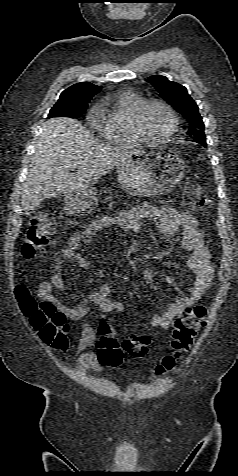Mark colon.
Listing matches in <instances>:
<instances>
[{"label": "colon", "mask_w": 238, "mask_h": 476, "mask_svg": "<svg viewBox=\"0 0 238 476\" xmlns=\"http://www.w3.org/2000/svg\"><path fill=\"white\" fill-rule=\"evenodd\" d=\"M183 204L192 211H203L210 207L211 200L203 188L197 183H187L183 191ZM54 231V224L44 215L35 216L29 223L25 241L22 246L24 258L32 259L42 254L49 243ZM20 308L29 318L32 327L42 341L48 346L65 350L68 345L67 331L63 315L45 302H38L29 296L24 286L17 288ZM207 310L201 305L184 309L174 321L171 346L173 351L166 355L155 367L153 376H163L176 369L177 362L192 346L198 332L206 326ZM101 335L97 342V355L100 363L105 366L118 368L123 362V355L140 358L147 354L150 338L145 334H133L122 343L111 335L107 323L99 330Z\"/></svg>", "instance_id": "colon-1"}]
</instances>
